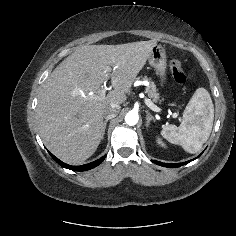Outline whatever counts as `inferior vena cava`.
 Segmentation results:
<instances>
[{
    "label": "inferior vena cava",
    "mask_w": 236,
    "mask_h": 236,
    "mask_svg": "<svg viewBox=\"0 0 236 236\" xmlns=\"http://www.w3.org/2000/svg\"><path fill=\"white\" fill-rule=\"evenodd\" d=\"M120 111V106L115 103H111L109 106L105 107L103 115L105 119H112L117 116Z\"/></svg>",
    "instance_id": "obj_1"
}]
</instances>
